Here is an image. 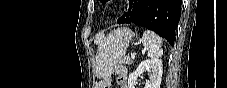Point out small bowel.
<instances>
[{
    "instance_id": "c3829d8e",
    "label": "small bowel",
    "mask_w": 227,
    "mask_h": 88,
    "mask_svg": "<svg viewBox=\"0 0 227 88\" xmlns=\"http://www.w3.org/2000/svg\"><path fill=\"white\" fill-rule=\"evenodd\" d=\"M116 73H117L118 86L120 88H128L129 84H128V71H127V69L124 66L119 65L116 68ZM110 83H111L110 78H107L102 82V84L105 85L106 88L110 87Z\"/></svg>"
}]
</instances>
